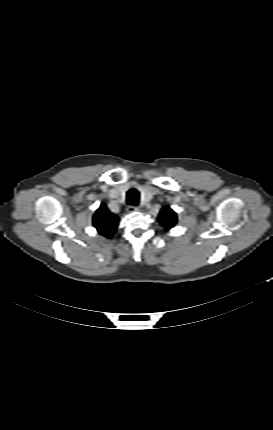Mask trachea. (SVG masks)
I'll list each match as a JSON object with an SVG mask.
<instances>
[{"label": "trachea", "instance_id": "obj_1", "mask_svg": "<svg viewBox=\"0 0 273 430\" xmlns=\"http://www.w3.org/2000/svg\"><path fill=\"white\" fill-rule=\"evenodd\" d=\"M127 201L130 205L136 206L139 201V192L136 189H130L127 192Z\"/></svg>", "mask_w": 273, "mask_h": 430}]
</instances>
